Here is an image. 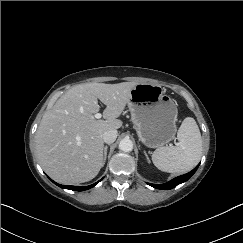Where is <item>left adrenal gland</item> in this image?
Wrapping results in <instances>:
<instances>
[{
  "label": "left adrenal gland",
  "mask_w": 243,
  "mask_h": 243,
  "mask_svg": "<svg viewBox=\"0 0 243 243\" xmlns=\"http://www.w3.org/2000/svg\"><path fill=\"white\" fill-rule=\"evenodd\" d=\"M144 154H145V156H146L148 162L150 163V159H149V157H148V155H147V153H146L145 151H144Z\"/></svg>",
  "instance_id": "a2214340"
}]
</instances>
